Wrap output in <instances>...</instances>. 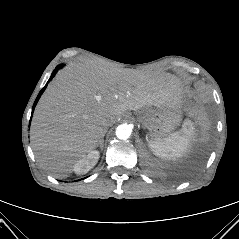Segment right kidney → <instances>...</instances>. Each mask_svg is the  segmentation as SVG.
Wrapping results in <instances>:
<instances>
[{"mask_svg": "<svg viewBox=\"0 0 239 239\" xmlns=\"http://www.w3.org/2000/svg\"><path fill=\"white\" fill-rule=\"evenodd\" d=\"M99 152L91 151L88 155L80 158L74 165V171L76 174H86L89 170H91L98 162Z\"/></svg>", "mask_w": 239, "mask_h": 239, "instance_id": "right-kidney-1", "label": "right kidney"}]
</instances>
